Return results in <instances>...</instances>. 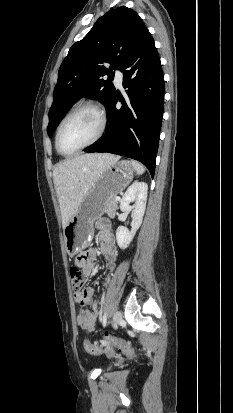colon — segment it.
Here are the masks:
<instances>
[{"mask_svg": "<svg viewBox=\"0 0 233 413\" xmlns=\"http://www.w3.org/2000/svg\"><path fill=\"white\" fill-rule=\"evenodd\" d=\"M70 278L73 289L78 292L82 290L86 283V275L85 273L77 266H72L70 268ZM115 346L126 355H132L133 349L132 347L125 341L111 338L105 336L103 339L96 343H91L88 340L84 341V349L86 352L90 354H99L102 351V347H110Z\"/></svg>", "mask_w": 233, "mask_h": 413, "instance_id": "1", "label": "colon"}]
</instances>
